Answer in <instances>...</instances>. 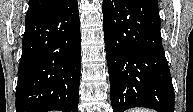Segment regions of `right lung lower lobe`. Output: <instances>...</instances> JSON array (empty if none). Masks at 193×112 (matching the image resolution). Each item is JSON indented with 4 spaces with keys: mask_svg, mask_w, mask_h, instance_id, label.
Listing matches in <instances>:
<instances>
[{
    "mask_svg": "<svg viewBox=\"0 0 193 112\" xmlns=\"http://www.w3.org/2000/svg\"><path fill=\"white\" fill-rule=\"evenodd\" d=\"M77 0L25 20L16 112H77L80 83Z\"/></svg>",
    "mask_w": 193,
    "mask_h": 112,
    "instance_id": "98d812e1",
    "label": "right lung lower lobe"
}]
</instances>
